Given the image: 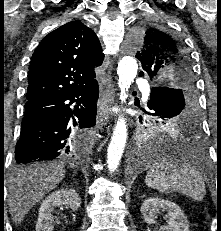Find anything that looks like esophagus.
<instances>
[{
    "instance_id": "esophagus-1",
    "label": "esophagus",
    "mask_w": 221,
    "mask_h": 231,
    "mask_svg": "<svg viewBox=\"0 0 221 231\" xmlns=\"http://www.w3.org/2000/svg\"><path fill=\"white\" fill-rule=\"evenodd\" d=\"M115 92H116V88L112 80L111 64H110L108 70V76H107L106 89L102 93V99H101L100 110H99V120L103 124H107L110 117L112 116L110 112V108L114 101Z\"/></svg>"
}]
</instances>
